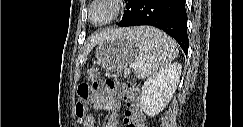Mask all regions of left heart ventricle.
Wrapping results in <instances>:
<instances>
[{
    "mask_svg": "<svg viewBox=\"0 0 243 127\" xmlns=\"http://www.w3.org/2000/svg\"><path fill=\"white\" fill-rule=\"evenodd\" d=\"M110 13L111 10L108 7L104 5H95L91 11V17L92 20L99 22L108 17Z\"/></svg>",
    "mask_w": 243,
    "mask_h": 127,
    "instance_id": "obj_1",
    "label": "left heart ventricle"
}]
</instances>
